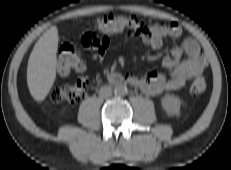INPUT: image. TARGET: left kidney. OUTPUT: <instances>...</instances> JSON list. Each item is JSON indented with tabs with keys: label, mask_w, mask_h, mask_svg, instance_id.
Returning <instances> with one entry per match:
<instances>
[{
	"label": "left kidney",
	"mask_w": 231,
	"mask_h": 170,
	"mask_svg": "<svg viewBox=\"0 0 231 170\" xmlns=\"http://www.w3.org/2000/svg\"><path fill=\"white\" fill-rule=\"evenodd\" d=\"M161 104L168 115H178L180 113V99L174 95H166L162 98Z\"/></svg>",
	"instance_id": "obj_1"
}]
</instances>
